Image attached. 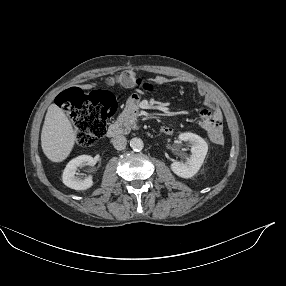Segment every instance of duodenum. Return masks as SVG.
<instances>
[{"instance_id":"1","label":"duodenum","mask_w":286,"mask_h":286,"mask_svg":"<svg viewBox=\"0 0 286 286\" xmlns=\"http://www.w3.org/2000/svg\"><path fill=\"white\" fill-rule=\"evenodd\" d=\"M134 124V121L122 120L119 122L112 123L107 131L106 136L109 138L117 137L125 134L129 131L130 127Z\"/></svg>"}]
</instances>
